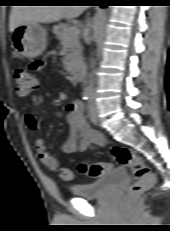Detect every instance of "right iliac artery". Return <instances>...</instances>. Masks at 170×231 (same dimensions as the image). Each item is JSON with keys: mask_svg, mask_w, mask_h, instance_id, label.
I'll use <instances>...</instances> for the list:
<instances>
[{"mask_svg": "<svg viewBox=\"0 0 170 231\" xmlns=\"http://www.w3.org/2000/svg\"><path fill=\"white\" fill-rule=\"evenodd\" d=\"M90 97V90L89 89H84L83 93H82V99L83 100H88Z\"/></svg>", "mask_w": 170, "mask_h": 231, "instance_id": "right-iliac-artery-1", "label": "right iliac artery"}]
</instances>
